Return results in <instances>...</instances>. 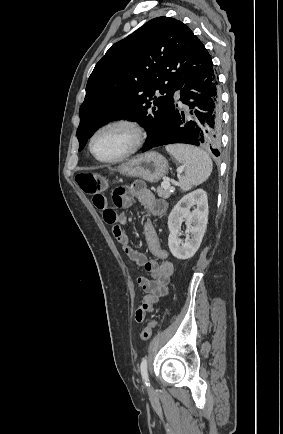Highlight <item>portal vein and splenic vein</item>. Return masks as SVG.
Instances as JSON below:
<instances>
[{"label":"portal vein and splenic vein","instance_id":"obj_1","mask_svg":"<svg viewBox=\"0 0 283 434\" xmlns=\"http://www.w3.org/2000/svg\"><path fill=\"white\" fill-rule=\"evenodd\" d=\"M161 185L164 188H169L170 187V182L169 181H163Z\"/></svg>","mask_w":283,"mask_h":434}]
</instances>
